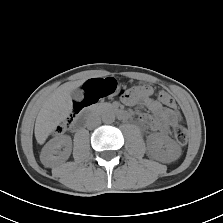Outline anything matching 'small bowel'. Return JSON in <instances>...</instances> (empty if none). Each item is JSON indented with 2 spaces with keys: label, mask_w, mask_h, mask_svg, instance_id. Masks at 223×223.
I'll return each instance as SVG.
<instances>
[{
  "label": "small bowel",
  "mask_w": 223,
  "mask_h": 223,
  "mask_svg": "<svg viewBox=\"0 0 223 223\" xmlns=\"http://www.w3.org/2000/svg\"><path fill=\"white\" fill-rule=\"evenodd\" d=\"M154 90L151 87H142L132 94L122 97L125 104L144 105L151 113L142 114L139 117L141 123L149 127L154 132L166 133L168 129L180 121V114L175 109L164 107L159 101L153 98Z\"/></svg>",
  "instance_id": "small-bowel-1"
}]
</instances>
